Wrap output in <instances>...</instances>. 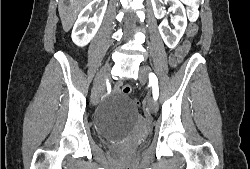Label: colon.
Returning a JSON list of instances; mask_svg holds the SVG:
<instances>
[{"instance_id": "1", "label": "colon", "mask_w": 250, "mask_h": 169, "mask_svg": "<svg viewBox=\"0 0 250 169\" xmlns=\"http://www.w3.org/2000/svg\"><path fill=\"white\" fill-rule=\"evenodd\" d=\"M198 23H196V21H191V23L187 24L188 27V31H187V37L191 38L194 37L197 33V28H198ZM63 43H70L71 39L70 38H63L62 39ZM182 54H178L177 51L172 52L171 54H167V59H170V61L168 62L169 66H174L175 68L177 67V63L179 61V56ZM131 85H123L122 88V93H124V95H129V91L131 90ZM134 102H136L137 104L139 103V97H134Z\"/></svg>"}]
</instances>
